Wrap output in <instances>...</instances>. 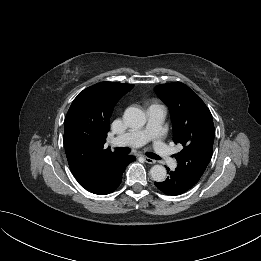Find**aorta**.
<instances>
[{"label": "aorta", "instance_id": "762f6f07", "mask_svg": "<svg viewBox=\"0 0 261 261\" xmlns=\"http://www.w3.org/2000/svg\"><path fill=\"white\" fill-rule=\"evenodd\" d=\"M124 122L131 128H141L146 123V114L137 107H129L123 115ZM166 169L162 165H154L150 169L151 178L156 182H162L166 179Z\"/></svg>", "mask_w": 261, "mask_h": 261}]
</instances>
